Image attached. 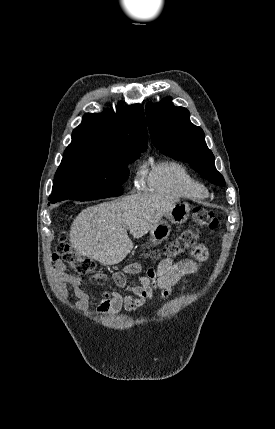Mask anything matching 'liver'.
Wrapping results in <instances>:
<instances>
[{
    "mask_svg": "<svg viewBox=\"0 0 275 429\" xmlns=\"http://www.w3.org/2000/svg\"><path fill=\"white\" fill-rule=\"evenodd\" d=\"M177 199L158 194H134L84 209L70 230V243L80 254L104 265L120 263L141 238L170 211Z\"/></svg>",
    "mask_w": 275,
    "mask_h": 429,
    "instance_id": "obj_1",
    "label": "liver"
}]
</instances>
